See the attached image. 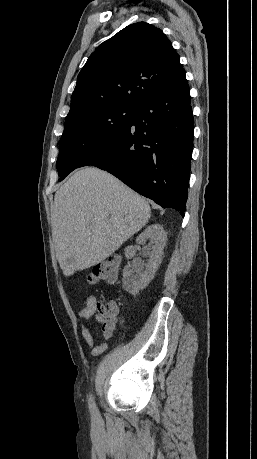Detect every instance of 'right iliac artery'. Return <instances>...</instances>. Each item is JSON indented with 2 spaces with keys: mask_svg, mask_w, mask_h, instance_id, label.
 <instances>
[{
  "mask_svg": "<svg viewBox=\"0 0 257 459\" xmlns=\"http://www.w3.org/2000/svg\"><path fill=\"white\" fill-rule=\"evenodd\" d=\"M89 409H90V412L93 416H96L98 415V409L95 405V402H94V399L92 397V395H90V398H89Z\"/></svg>",
  "mask_w": 257,
  "mask_h": 459,
  "instance_id": "82829eb1",
  "label": "right iliac artery"
}]
</instances>
